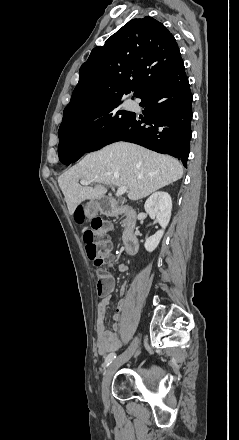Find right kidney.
Listing matches in <instances>:
<instances>
[{"label":"right kidney","mask_w":239,"mask_h":440,"mask_svg":"<svg viewBox=\"0 0 239 440\" xmlns=\"http://www.w3.org/2000/svg\"><path fill=\"white\" fill-rule=\"evenodd\" d=\"M145 212L149 214L151 220L160 224L162 230H158L154 236L147 238L144 246L147 252H153L157 248L166 226L171 218L172 200L168 192H155L144 204Z\"/></svg>","instance_id":"ca27d5eb"}]
</instances>
